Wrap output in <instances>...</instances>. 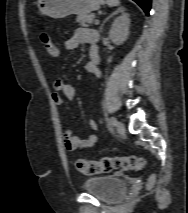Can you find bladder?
Returning <instances> with one entry per match:
<instances>
[{"label": "bladder", "mask_w": 188, "mask_h": 213, "mask_svg": "<svg viewBox=\"0 0 188 213\" xmlns=\"http://www.w3.org/2000/svg\"><path fill=\"white\" fill-rule=\"evenodd\" d=\"M81 187L104 202H115L126 191L124 180L118 176H91L82 182Z\"/></svg>", "instance_id": "31cf9c89"}]
</instances>
